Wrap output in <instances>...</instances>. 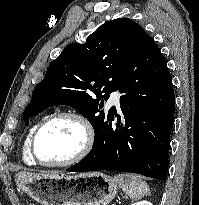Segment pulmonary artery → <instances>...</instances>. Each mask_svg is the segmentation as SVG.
<instances>
[{
  "instance_id": "e3ab8cb5",
  "label": "pulmonary artery",
  "mask_w": 199,
  "mask_h": 205,
  "mask_svg": "<svg viewBox=\"0 0 199 205\" xmlns=\"http://www.w3.org/2000/svg\"><path fill=\"white\" fill-rule=\"evenodd\" d=\"M109 106H115L117 110H120V94L118 92H113L110 95V98L108 100Z\"/></svg>"
}]
</instances>
